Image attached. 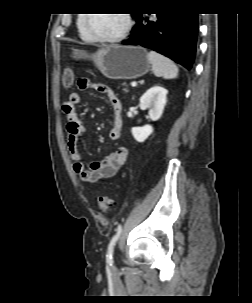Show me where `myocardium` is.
Returning <instances> with one entry per match:
<instances>
[{"instance_id": "obj_1", "label": "myocardium", "mask_w": 252, "mask_h": 303, "mask_svg": "<svg viewBox=\"0 0 252 303\" xmlns=\"http://www.w3.org/2000/svg\"><path fill=\"white\" fill-rule=\"evenodd\" d=\"M124 16H125V19H126L125 27L119 33H117L115 35H111V36H101V35L91 33L90 30L88 29V23H89L90 19H89V17L84 18L83 28H84V31L86 33V36L89 39L97 40V41H103V42H117V41H120L121 39H123L124 37H126L128 35V33L130 32V30L133 26V18H132L131 13H124Z\"/></svg>"}]
</instances>
